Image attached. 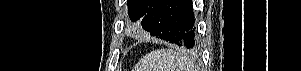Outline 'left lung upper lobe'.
<instances>
[{"label": "left lung upper lobe", "instance_id": "1", "mask_svg": "<svg viewBox=\"0 0 301 71\" xmlns=\"http://www.w3.org/2000/svg\"><path fill=\"white\" fill-rule=\"evenodd\" d=\"M158 0H128V15L132 21L141 20Z\"/></svg>", "mask_w": 301, "mask_h": 71}]
</instances>
